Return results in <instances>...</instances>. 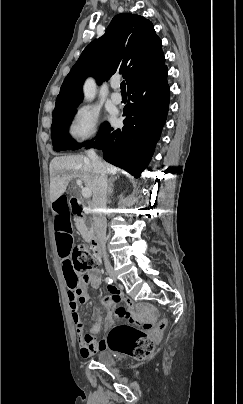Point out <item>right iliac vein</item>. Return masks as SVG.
I'll return each instance as SVG.
<instances>
[{
    "instance_id": "right-iliac-vein-1",
    "label": "right iliac vein",
    "mask_w": 243,
    "mask_h": 404,
    "mask_svg": "<svg viewBox=\"0 0 243 404\" xmlns=\"http://www.w3.org/2000/svg\"><path fill=\"white\" fill-rule=\"evenodd\" d=\"M109 276H110L112 279H114V280L117 279V276H116L115 272H113V271H110V272H109Z\"/></svg>"
}]
</instances>
